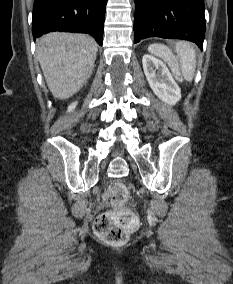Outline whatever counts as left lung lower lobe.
I'll list each match as a JSON object with an SVG mask.
<instances>
[{
    "label": "left lung lower lobe",
    "mask_w": 233,
    "mask_h": 284,
    "mask_svg": "<svg viewBox=\"0 0 233 284\" xmlns=\"http://www.w3.org/2000/svg\"><path fill=\"white\" fill-rule=\"evenodd\" d=\"M137 43L148 37L185 39L203 48V0H134Z\"/></svg>",
    "instance_id": "0a47b994"
}]
</instances>
